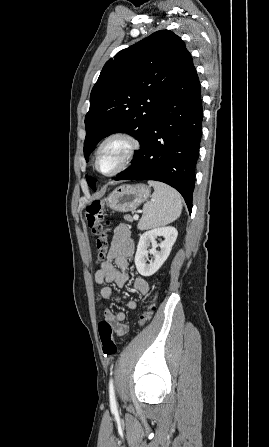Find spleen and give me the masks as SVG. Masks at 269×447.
I'll return each instance as SVG.
<instances>
[{"label":"spleen","mask_w":269,"mask_h":447,"mask_svg":"<svg viewBox=\"0 0 269 447\" xmlns=\"http://www.w3.org/2000/svg\"><path fill=\"white\" fill-rule=\"evenodd\" d=\"M155 192L151 202L143 206V216L138 224V229H151L167 225L179 218L182 212V200L180 194L162 184V182H148Z\"/></svg>","instance_id":"spleen-1"}]
</instances>
